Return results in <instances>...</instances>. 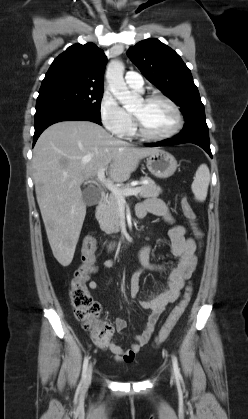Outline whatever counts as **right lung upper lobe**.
Segmentation results:
<instances>
[{
  "mask_svg": "<svg viewBox=\"0 0 248 419\" xmlns=\"http://www.w3.org/2000/svg\"><path fill=\"white\" fill-rule=\"evenodd\" d=\"M105 64V54L95 44H74L53 61L40 89L56 86L103 89Z\"/></svg>",
  "mask_w": 248,
  "mask_h": 419,
  "instance_id": "obj_1",
  "label": "right lung upper lobe"
}]
</instances>
